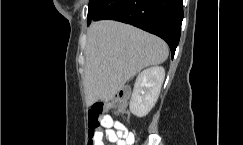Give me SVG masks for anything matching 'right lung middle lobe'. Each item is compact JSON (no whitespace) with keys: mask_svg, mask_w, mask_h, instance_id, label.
<instances>
[{"mask_svg":"<svg viewBox=\"0 0 243 145\" xmlns=\"http://www.w3.org/2000/svg\"><path fill=\"white\" fill-rule=\"evenodd\" d=\"M92 1H93V0H90L89 5H90V3H91Z\"/></svg>","mask_w":243,"mask_h":145,"instance_id":"1","label":"right lung middle lobe"}]
</instances>
